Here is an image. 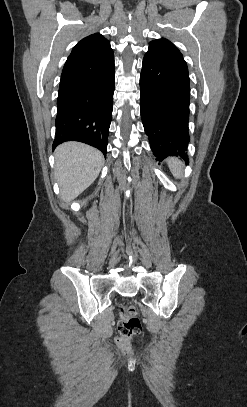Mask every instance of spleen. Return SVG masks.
<instances>
[{
	"instance_id": "3e777b00",
	"label": "spleen",
	"mask_w": 247,
	"mask_h": 407,
	"mask_svg": "<svg viewBox=\"0 0 247 407\" xmlns=\"http://www.w3.org/2000/svg\"><path fill=\"white\" fill-rule=\"evenodd\" d=\"M169 168L175 178H181L183 176V164L177 158L169 159Z\"/></svg>"
}]
</instances>
